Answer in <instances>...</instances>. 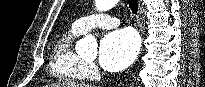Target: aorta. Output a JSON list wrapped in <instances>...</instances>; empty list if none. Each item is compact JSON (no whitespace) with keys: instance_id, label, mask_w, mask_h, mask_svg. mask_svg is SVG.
I'll list each match as a JSON object with an SVG mask.
<instances>
[{"instance_id":"obj_1","label":"aorta","mask_w":205,"mask_h":87,"mask_svg":"<svg viewBox=\"0 0 205 87\" xmlns=\"http://www.w3.org/2000/svg\"><path fill=\"white\" fill-rule=\"evenodd\" d=\"M119 0H95V6L98 11H108L113 8ZM77 48L81 51L96 52L97 41L92 35H87L80 39L77 43Z\"/></svg>"}]
</instances>
